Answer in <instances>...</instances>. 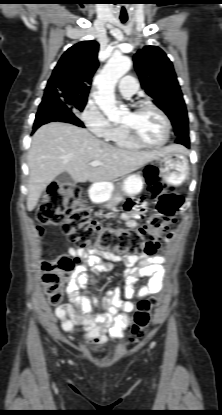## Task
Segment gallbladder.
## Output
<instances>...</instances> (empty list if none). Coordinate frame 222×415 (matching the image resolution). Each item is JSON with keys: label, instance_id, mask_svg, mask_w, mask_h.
<instances>
[{"label": "gallbladder", "instance_id": "obj_1", "mask_svg": "<svg viewBox=\"0 0 222 415\" xmlns=\"http://www.w3.org/2000/svg\"><path fill=\"white\" fill-rule=\"evenodd\" d=\"M56 182L60 185H75L74 179L67 172L59 174L56 177Z\"/></svg>", "mask_w": 222, "mask_h": 415}]
</instances>
